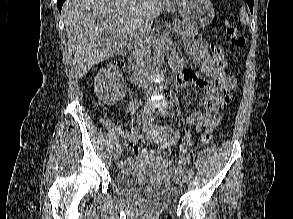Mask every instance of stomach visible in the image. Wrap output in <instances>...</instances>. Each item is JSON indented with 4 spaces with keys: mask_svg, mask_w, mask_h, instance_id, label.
<instances>
[{
    "mask_svg": "<svg viewBox=\"0 0 293 219\" xmlns=\"http://www.w3.org/2000/svg\"><path fill=\"white\" fill-rule=\"evenodd\" d=\"M168 11L178 10L182 18L195 28H203L211 23L215 10L209 0H177L176 4L163 5Z\"/></svg>",
    "mask_w": 293,
    "mask_h": 219,
    "instance_id": "obj_1",
    "label": "stomach"
}]
</instances>
